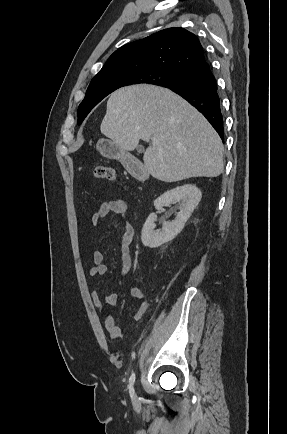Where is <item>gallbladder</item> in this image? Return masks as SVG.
Returning a JSON list of instances; mask_svg holds the SVG:
<instances>
[{"label":"gallbladder","mask_w":287,"mask_h":434,"mask_svg":"<svg viewBox=\"0 0 287 434\" xmlns=\"http://www.w3.org/2000/svg\"><path fill=\"white\" fill-rule=\"evenodd\" d=\"M138 150H139V151H143V148H142V147H139Z\"/></svg>","instance_id":"1"}]
</instances>
